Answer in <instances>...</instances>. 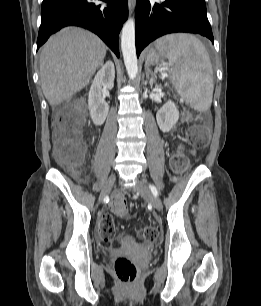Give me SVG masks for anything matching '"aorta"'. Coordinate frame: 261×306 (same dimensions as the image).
<instances>
[{
    "instance_id": "762f6f07",
    "label": "aorta",
    "mask_w": 261,
    "mask_h": 306,
    "mask_svg": "<svg viewBox=\"0 0 261 306\" xmlns=\"http://www.w3.org/2000/svg\"><path fill=\"white\" fill-rule=\"evenodd\" d=\"M121 50L124 64L131 80H134L138 72V63L135 48V21L129 18L121 32Z\"/></svg>"
}]
</instances>
